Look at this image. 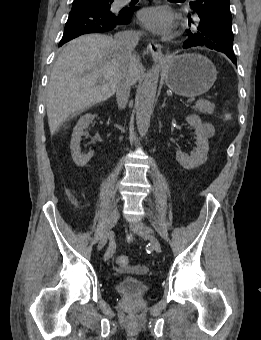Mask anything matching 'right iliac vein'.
Returning <instances> with one entry per match:
<instances>
[{
  "label": "right iliac vein",
  "instance_id": "right-iliac-vein-1",
  "mask_svg": "<svg viewBox=\"0 0 261 340\" xmlns=\"http://www.w3.org/2000/svg\"><path fill=\"white\" fill-rule=\"evenodd\" d=\"M118 219H119V211L118 209H113L110 212L109 217L107 219L105 232L97 244V247H96L97 252H100L105 247L108 239L111 238V230L115 226V224L118 222Z\"/></svg>",
  "mask_w": 261,
  "mask_h": 340
}]
</instances>
